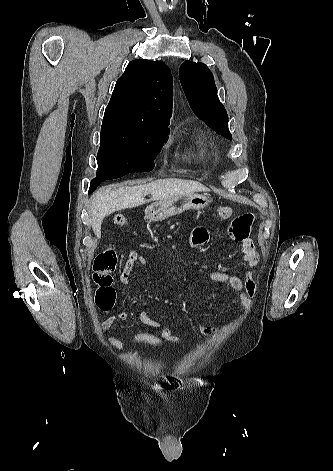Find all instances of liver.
Here are the masks:
<instances>
[{"label":"liver","mask_w":333,"mask_h":471,"mask_svg":"<svg viewBox=\"0 0 333 471\" xmlns=\"http://www.w3.org/2000/svg\"><path fill=\"white\" fill-rule=\"evenodd\" d=\"M208 191V188L193 180L178 178L159 179L144 185L112 189L103 187L91 198L92 229L97 238L101 237L103 219L113 212L141 206L148 202L145 196L151 194L150 201H165L171 198Z\"/></svg>","instance_id":"6515ba94"}]
</instances>
